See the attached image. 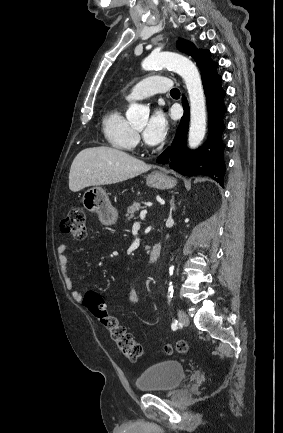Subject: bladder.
Masks as SVG:
<instances>
[{
  "label": "bladder",
  "mask_w": 283,
  "mask_h": 433,
  "mask_svg": "<svg viewBox=\"0 0 283 433\" xmlns=\"http://www.w3.org/2000/svg\"><path fill=\"white\" fill-rule=\"evenodd\" d=\"M184 376V364L176 360H166L145 369L137 377L136 386L148 392L170 391L182 384Z\"/></svg>",
  "instance_id": "bladder-1"
}]
</instances>
